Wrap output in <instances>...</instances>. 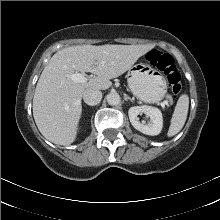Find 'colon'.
<instances>
[{
    "mask_svg": "<svg viewBox=\"0 0 220 220\" xmlns=\"http://www.w3.org/2000/svg\"><path fill=\"white\" fill-rule=\"evenodd\" d=\"M146 59L150 65L156 67L166 75L172 94L178 96L182 89V83L173 57L168 53L154 49L147 53Z\"/></svg>",
    "mask_w": 220,
    "mask_h": 220,
    "instance_id": "1",
    "label": "colon"
}]
</instances>
